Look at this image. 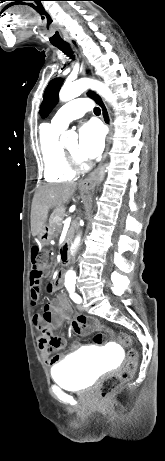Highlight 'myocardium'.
Listing matches in <instances>:
<instances>
[{
    "mask_svg": "<svg viewBox=\"0 0 165 461\" xmlns=\"http://www.w3.org/2000/svg\"><path fill=\"white\" fill-rule=\"evenodd\" d=\"M63 151L68 162V165L73 171L81 172L87 169V163L80 157L71 153L67 148L63 147Z\"/></svg>",
    "mask_w": 165,
    "mask_h": 461,
    "instance_id": "1",
    "label": "myocardium"
}]
</instances>
